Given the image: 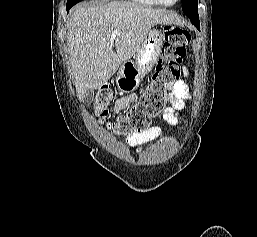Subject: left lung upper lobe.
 Instances as JSON below:
<instances>
[{
  "mask_svg": "<svg viewBox=\"0 0 257 237\" xmlns=\"http://www.w3.org/2000/svg\"><path fill=\"white\" fill-rule=\"evenodd\" d=\"M182 10L190 20H199L198 0H182Z\"/></svg>",
  "mask_w": 257,
  "mask_h": 237,
  "instance_id": "obj_1",
  "label": "left lung upper lobe"
}]
</instances>
